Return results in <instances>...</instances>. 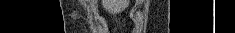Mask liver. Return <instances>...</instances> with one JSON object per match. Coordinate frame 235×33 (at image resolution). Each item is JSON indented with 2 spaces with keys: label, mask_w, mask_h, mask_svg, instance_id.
<instances>
[{
  "label": "liver",
  "mask_w": 235,
  "mask_h": 33,
  "mask_svg": "<svg viewBox=\"0 0 235 33\" xmlns=\"http://www.w3.org/2000/svg\"><path fill=\"white\" fill-rule=\"evenodd\" d=\"M101 4L108 13L117 14L123 11L129 3L126 0H101Z\"/></svg>",
  "instance_id": "obj_1"
}]
</instances>
